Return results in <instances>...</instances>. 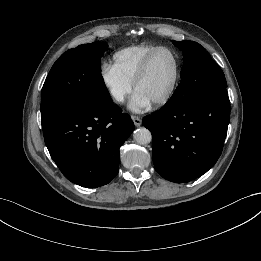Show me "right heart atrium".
Here are the masks:
<instances>
[{
  "mask_svg": "<svg viewBox=\"0 0 261 261\" xmlns=\"http://www.w3.org/2000/svg\"><path fill=\"white\" fill-rule=\"evenodd\" d=\"M100 79L110 98L116 104L124 103L132 92V82L118 73L110 64L102 65Z\"/></svg>",
  "mask_w": 261,
  "mask_h": 261,
  "instance_id": "right-heart-atrium-1",
  "label": "right heart atrium"
}]
</instances>
